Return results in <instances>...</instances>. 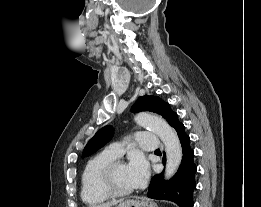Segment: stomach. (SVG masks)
Here are the masks:
<instances>
[{
	"instance_id": "0dacf381",
	"label": "stomach",
	"mask_w": 261,
	"mask_h": 207,
	"mask_svg": "<svg viewBox=\"0 0 261 207\" xmlns=\"http://www.w3.org/2000/svg\"><path fill=\"white\" fill-rule=\"evenodd\" d=\"M116 207H158L156 203L148 199H127L120 202Z\"/></svg>"
}]
</instances>
